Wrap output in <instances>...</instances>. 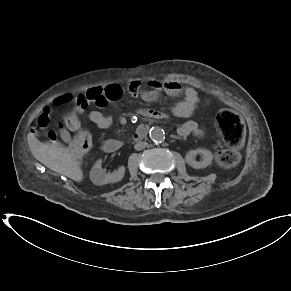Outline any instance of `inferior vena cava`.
<instances>
[{
	"instance_id": "1",
	"label": "inferior vena cava",
	"mask_w": 291,
	"mask_h": 291,
	"mask_svg": "<svg viewBox=\"0 0 291 291\" xmlns=\"http://www.w3.org/2000/svg\"><path fill=\"white\" fill-rule=\"evenodd\" d=\"M147 145H148L147 142H145V141H139V142H137L135 144L134 148H135V150H138L139 151V150L144 149Z\"/></svg>"
}]
</instances>
